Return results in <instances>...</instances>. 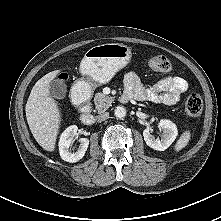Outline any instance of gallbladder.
I'll return each mask as SVG.
<instances>
[{"mask_svg": "<svg viewBox=\"0 0 221 221\" xmlns=\"http://www.w3.org/2000/svg\"><path fill=\"white\" fill-rule=\"evenodd\" d=\"M67 93L66 84L59 79H56L50 83V94L56 99H64Z\"/></svg>", "mask_w": 221, "mask_h": 221, "instance_id": "obj_1", "label": "gallbladder"}]
</instances>
